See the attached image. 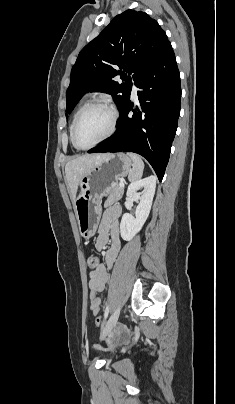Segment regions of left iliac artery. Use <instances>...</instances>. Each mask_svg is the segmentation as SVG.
Wrapping results in <instances>:
<instances>
[{"mask_svg":"<svg viewBox=\"0 0 235 404\" xmlns=\"http://www.w3.org/2000/svg\"><path fill=\"white\" fill-rule=\"evenodd\" d=\"M108 313H109V306H107L106 309H105V313H104V318L105 319L108 317Z\"/></svg>","mask_w":235,"mask_h":404,"instance_id":"44dca946","label":"left iliac artery"}]
</instances>
